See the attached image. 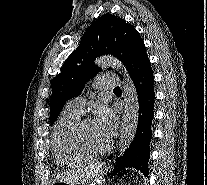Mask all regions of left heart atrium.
<instances>
[{
    "label": "left heart atrium",
    "mask_w": 207,
    "mask_h": 185,
    "mask_svg": "<svg viewBox=\"0 0 207 185\" xmlns=\"http://www.w3.org/2000/svg\"><path fill=\"white\" fill-rule=\"evenodd\" d=\"M94 123L96 127L107 137L112 138L118 127L114 111L108 106H100L95 114Z\"/></svg>",
    "instance_id": "left-heart-atrium-1"
}]
</instances>
